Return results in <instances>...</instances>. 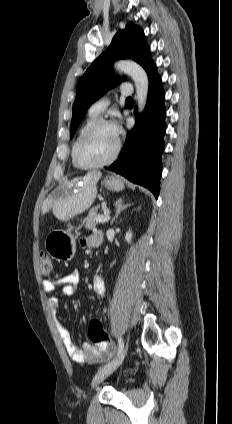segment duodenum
Listing matches in <instances>:
<instances>
[{
    "label": "duodenum",
    "mask_w": 232,
    "mask_h": 424,
    "mask_svg": "<svg viewBox=\"0 0 232 424\" xmlns=\"http://www.w3.org/2000/svg\"><path fill=\"white\" fill-rule=\"evenodd\" d=\"M99 233H100V232H99ZM102 238H103V236H102V234L100 233V234H99V236H98V239H97L96 246H98V245H100V244H101V242H102Z\"/></svg>",
    "instance_id": "410a0bca"
}]
</instances>
